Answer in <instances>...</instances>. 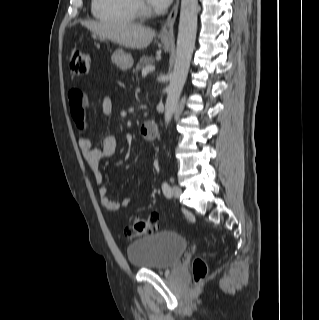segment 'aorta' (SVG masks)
<instances>
[{"mask_svg":"<svg viewBox=\"0 0 319 320\" xmlns=\"http://www.w3.org/2000/svg\"><path fill=\"white\" fill-rule=\"evenodd\" d=\"M197 12L198 0H181L176 57L167 87L164 113L166 125L173 117L190 68L197 32Z\"/></svg>","mask_w":319,"mask_h":320,"instance_id":"762f6f07","label":"aorta"}]
</instances>
